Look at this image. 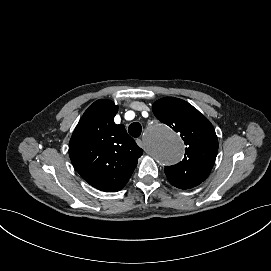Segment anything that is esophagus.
Returning a JSON list of instances; mask_svg holds the SVG:
<instances>
[{
  "instance_id": "esophagus-1",
  "label": "esophagus",
  "mask_w": 271,
  "mask_h": 271,
  "mask_svg": "<svg viewBox=\"0 0 271 271\" xmlns=\"http://www.w3.org/2000/svg\"><path fill=\"white\" fill-rule=\"evenodd\" d=\"M136 143L139 145V146H142L144 143H145V138L142 136V135H139L137 138H136ZM149 154V153H148Z\"/></svg>"
}]
</instances>
